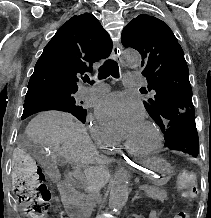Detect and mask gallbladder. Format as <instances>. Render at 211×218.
<instances>
[{
  "label": "gallbladder",
  "mask_w": 211,
  "mask_h": 218,
  "mask_svg": "<svg viewBox=\"0 0 211 218\" xmlns=\"http://www.w3.org/2000/svg\"><path fill=\"white\" fill-rule=\"evenodd\" d=\"M62 164H65V158H63V156H58L57 166H62Z\"/></svg>",
  "instance_id": "bac80fb5"
}]
</instances>
